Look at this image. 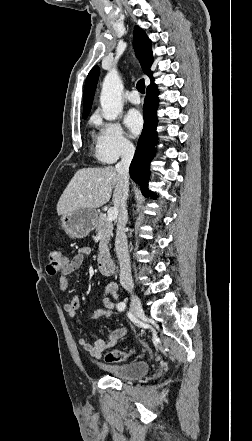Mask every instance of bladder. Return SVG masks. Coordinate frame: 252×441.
<instances>
[{"mask_svg": "<svg viewBox=\"0 0 252 441\" xmlns=\"http://www.w3.org/2000/svg\"><path fill=\"white\" fill-rule=\"evenodd\" d=\"M100 368L109 376L122 380H136L149 372L150 365L148 361L141 360L124 364H102Z\"/></svg>", "mask_w": 252, "mask_h": 441, "instance_id": "31cf9c89", "label": "bladder"}]
</instances>
